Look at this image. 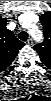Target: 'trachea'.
I'll return each instance as SVG.
<instances>
[{
  "label": "trachea",
  "instance_id": "3493384b",
  "mask_svg": "<svg viewBox=\"0 0 51 101\" xmlns=\"http://www.w3.org/2000/svg\"><path fill=\"white\" fill-rule=\"evenodd\" d=\"M18 37H19L20 40L26 41L28 39V34H27V32L22 31V32L19 33Z\"/></svg>",
  "mask_w": 51,
  "mask_h": 101
}]
</instances>
